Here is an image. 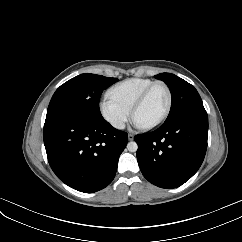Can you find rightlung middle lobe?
Here are the masks:
<instances>
[{
	"instance_id": "right-lung-middle-lobe-1",
	"label": "right lung middle lobe",
	"mask_w": 242,
	"mask_h": 242,
	"mask_svg": "<svg viewBox=\"0 0 242 242\" xmlns=\"http://www.w3.org/2000/svg\"><path fill=\"white\" fill-rule=\"evenodd\" d=\"M96 74H81L61 85L48 106L46 120L60 115H80L104 119L99 109V99L104 89L117 82Z\"/></svg>"
}]
</instances>
